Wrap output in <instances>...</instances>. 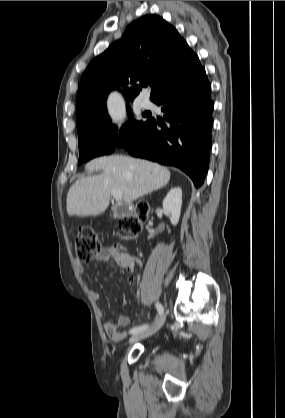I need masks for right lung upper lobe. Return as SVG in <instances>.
I'll return each mask as SVG.
<instances>
[{
    "mask_svg": "<svg viewBox=\"0 0 285 418\" xmlns=\"http://www.w3.org/2000/svg\"><path fill=\"white\" fill-rule=\"evenodd\" d=\"M202 69L198 56L173 26L158 15L143 16L88 65L78 88L76 123L107 112L106 98L112 90L127 88L122 93L133 100L149 84L150 100L156 103Z\"/></svg>",
    "mask_w": 285,
    "mask_h": 418,
    "instance_id": "right-lung-upper-lobe-1",
    "label": "right lung upper lobe"
}]
</instances>
